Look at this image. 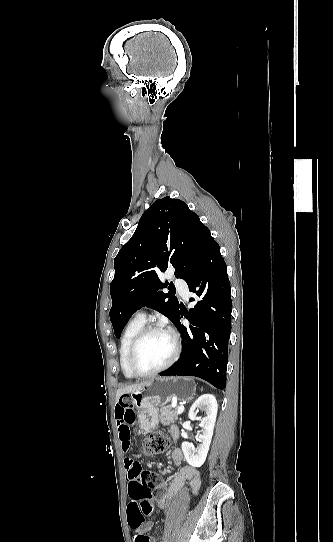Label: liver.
Returning <instances> with one entry per match:
<instances>
[{
	"label": "liver",
	"instance_id": "obj_1",
	"mask_svg": "<svg viewBox=\"0 0 333 542\" xmlns=\"http://www.w3.org/2000/svg\"><path fill=\"white\" fill-rule=\"evenodd\" d=\"M147 384L148 382H142V384H131V386H126V388H119L116 392V402H118L120 396H123V394H131V392H136V390H142Z\"/></svg>",
	"mask_w": 333,
	"mask_h": 542
}]
</instances>
